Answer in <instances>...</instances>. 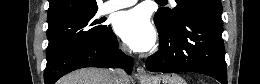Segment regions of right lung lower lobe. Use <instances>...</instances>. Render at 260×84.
Listing matches in <instances>:
<instances>
[{
  "label": "right lung lower lobe",
  "instance_id": "1",
  "mask_svg": "<svg viewBox=\"0 0 260 84\" xmlns=\"http://www.w3.org/2000/svg\"><path fill=\"white\" fill-rule=\"evenodd\" d=\"M117 37L112 31L106 44H82L64 52L55 62L46 66L45 84H54L63 75L84 67L116 68L122 67L131 73L133 59L119 49Z\"/></svg>",
  "mask_w": 260,
  "mask_h": 84
}]
</instances>
